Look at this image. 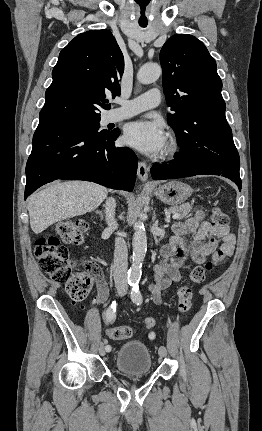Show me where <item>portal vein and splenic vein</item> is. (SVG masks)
Wrapping results in <instances>:
<instances>
[{
	"label": "portal vein and splenic vein",
	"mask_w": 262,
	"mask_h": 431,
	"mask_svg": "<svg viewBox=\"0 0 262 431\" xmlns=\"http://www.w3.org/2000/svg\"><path fill=\"white\" fill-rule=\"evenodd\" d=\"M179 217H180V214H178V213H175L172 215V219H178ZM169 222H170V219H167V223H169Z\"/></svg>",
	"instance_id": "portal-vein-and-splenic-vein-1"
}]
</instances>
